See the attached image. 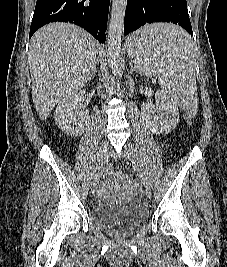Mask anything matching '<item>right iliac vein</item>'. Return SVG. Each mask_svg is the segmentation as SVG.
Wrapping results in <instances>:
<instances>
[{"mask_svg":"<svg viewBox=\"0 0 227 267\" xmlns=\"http://www.w3.org/2000/svg\"><path fill=\"white\" fill-rule=\"evenodd\" d=\"M108 154V143L103 141L99 147L96 161V172L92 175L91 186L95 187L98 182V171L102 168Z\"/></svg>","mask_w":227,"mask_h":267,"instance_id":"63e3f726","label":"right iliac vein"}]
</instances>
